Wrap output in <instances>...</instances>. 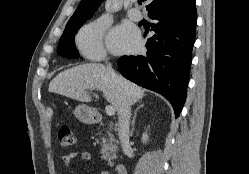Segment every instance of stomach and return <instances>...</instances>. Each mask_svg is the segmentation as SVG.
Here are the masks:
<instances>
[{"label": "stomach", "instance_id": "1", "mask_svg": "<svg viewBox=\"0 0 249 174\" xmlns=\"http://www.w3.org/2000/svg\"><path fill=\"white\" fill-rule=\"evenodd\" d=\"M75 116L84 123H89L92 121L94 112L92 108L87 105H78L74 111Z\"/></svg>", "mask_w": 249, "mask_h": 174}]
</instances>
